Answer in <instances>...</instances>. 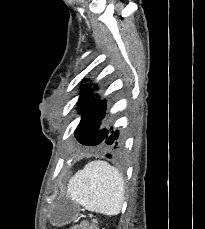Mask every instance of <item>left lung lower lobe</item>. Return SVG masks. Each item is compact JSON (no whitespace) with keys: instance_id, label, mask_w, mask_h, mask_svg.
Returning a JSON list of instances; mask_svg holds the SVG:
<instances>
[{"instance_id":"obj_1","label":"left lung lower lobe","mask_w":205,"mask_h":229,"mask_svg":"<svg viewBox=\"0 0 205 229\" xmlns=\"http://www.w3.org/2000/svg\"><path fill=\"white\" fill-rule=\"evenodd\" d=\"M100 131H102V134L97 138V141L103 140L104 152L108 153L106 157L111 158L112 155L113 157L119 156L121 151L119 132L113 131V127L110 130L102 129Z\"/></svg>"}]
</instances>
